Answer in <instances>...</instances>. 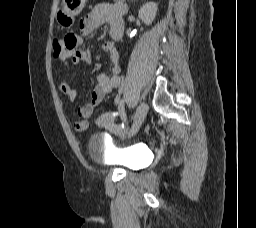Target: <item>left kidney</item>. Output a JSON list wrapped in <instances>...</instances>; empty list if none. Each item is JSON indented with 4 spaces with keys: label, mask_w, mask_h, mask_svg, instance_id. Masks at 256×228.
<instances>
[{
    "label": "left kidney",
    "mask_w": 256,
    "mask_h": 228,
    "mask_svg": "<svg viewBox=\"0 0 256 228\" xmlns=\"http://www.w3.org/2000/svg\"><path fill=\"white\" fill-rule=\"evenodd\" d=\"M157 4L154 2L145 3L139 10L138 16L146 25L152 24L157 14Z\"/></svg>",
    "instance_id": "left-kidney-1"
}]
</instances>
